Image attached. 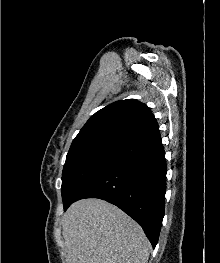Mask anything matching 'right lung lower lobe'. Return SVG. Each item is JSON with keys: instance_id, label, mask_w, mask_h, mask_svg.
<instances>
[{"instance_id": "obj_1", "label": "right lung lower lobe", "mask_w": 220, "mask_h": 263, "mask_svg": "<svg viewBox=\"0 0 220 263\" xmlns=\"http://www.w3.org/2000/svg\"><path fill=\"white\" fill-rule=\"evenodd\" d=\"M166 173L165 151L158 134L121 150L71 203L99 198L118 206L139 223L155 248L164 217Z\"/></svg>"}]
</instances>
